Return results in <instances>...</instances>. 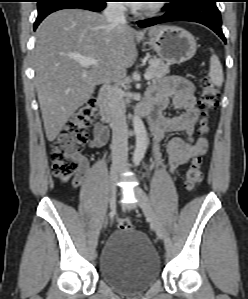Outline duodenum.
Here are the masks:
<instances>
[{
    "mask_svg": "<svg viewBox=\"0 0 248 299\" xmlns=\"http://www.w3.org/2000/svg\"><path fill=\"white\" fill-rule=\"evenodd\" d=\"M113 86L111 83L104 84L98 94L97 104L100 110L101 120L105 123L113 122L115 118V109L112 103ZM150 106L141 103L136 107V116L145 117L149 114Z\"/></svg>",
    "mask_w": 248,
    "mask_h": 299,
    "instance_id": "obj_1",
    "label": "duodenum"
}]
</instances>
